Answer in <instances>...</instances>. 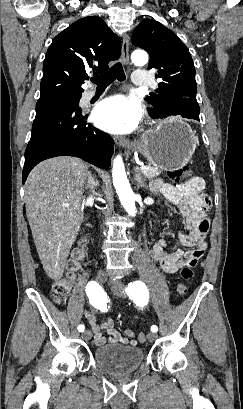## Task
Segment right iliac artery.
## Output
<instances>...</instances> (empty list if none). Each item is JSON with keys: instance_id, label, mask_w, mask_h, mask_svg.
I'll list each match as a JSON object with an SVG mask.
<instances>
[{"instance_id": "right-iliac-artery-1", "label": "right iliac artery", "mask_w": 243, "mask_h": 409, "mask_svg": "<svg viewBox=\"0 0 243 409\" xmlns=\"http://www.w3.org/2000/svg\"><path fill=\"white\" fill-rule=\"evenodd\" d=\"M86 294L90 299V303L95 307H104L106 304V295L102 288L95 281H91L87 284ZM85 329L84 325L78 326V331L83 332Z\"/></svg>"}]
</instances>
